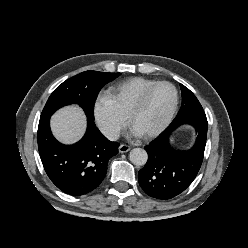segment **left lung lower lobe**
<instances>
[{"label":"left lung lower lobe","instance_id":"obj_1","mask_svg":"<svg viewBox=\"0 0 248 248\" xmlns=\"http://www.w3.org/2000/svg\"><path fill=\"white\" fill-rule=\"evenodd\" d=\"M196 130V140L189 150H176L170 136L181 125ZM207 120H183L166 128L151 144L146 165L139 170V185L150 197L167 200L182 193L195 179L201 167L207 138Z\"/></svg>","mask_w":248,"mask_h":248}]
</instances>
